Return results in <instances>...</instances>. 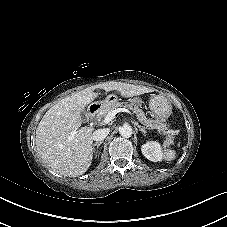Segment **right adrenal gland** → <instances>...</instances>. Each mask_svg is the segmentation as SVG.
I'll list each match as a JSON object with an SVG mask.
<instances>
[{"label":"right adrenal gland","mask_w":227,"mask_h":227,"mask_svg":"<svg viewBox=\"0 0 227 227\" xmlns=\"http://www.w3.org/2000/svg\"><path fill=\"white\" fill-rule=\"evenodd\" d=\"M102 144V142H96V143H94L93 144V146H92V150H93V152H95L96 150H95V147L97 146V149L99 148V146ZM96 153H98V150H97V152Z\"/></svg>","instance_id":"1"}]
</instances>
